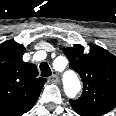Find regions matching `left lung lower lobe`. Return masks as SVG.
<instances>
[{
    "label": "left lung lower lobe",
    "mask_w": 116,
    "mask_h": 116,
    "mask_svg": "<svg viewBox=\"0 0 116 116\" xmlns=\"http://www.w3.org/2000/svg\"><path fill=\"white\" fill-rule=\"evenodd\" d=\"M81 116H101L103 113L96 112V111H87V112H76Z\"/></svg>",
    "instance_id": "1"
}]
</instances>
